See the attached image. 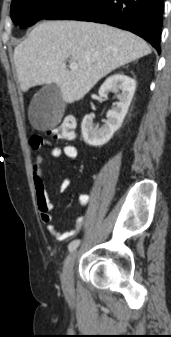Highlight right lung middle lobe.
I'll return each instance as SVG.
<instances>
[{"mask_svg": "<svg viewBox=\"0 0 171 337\" xmlns=\"http://www.w3.org/2000/svg\"><path fill=\"white\" fill-rule=\"evenodd\" d=\"M69 0H13L11 18L16 26L26 28L58 10Z\"/></svg>", "mask_w": 171, "mask_h": 337, "instance_id": "dd1d6c3e", "label": "right lung middle lobe"}]
</instances>
